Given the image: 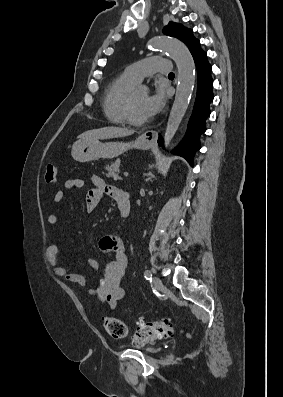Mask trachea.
Wrapping results in <instances>:
<instances>
[{
    "mask_svg": "<svg viewBox=\"0 0 283 397\" xmlns=\"http://www.w3.org/2000/svg\"><path fill=\"white\" fill-rule=\"evenodd\" d=\"M169 77H174V73L173 72H171V73H169V75H168Z\"/></svg>",
    "mask_w": 283,
    "mask_h": 397,
    "instance_id": "3493384b",
    "label": "trachea"
}]
</instances>
